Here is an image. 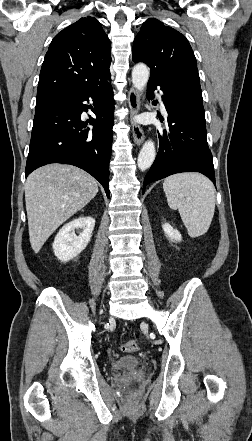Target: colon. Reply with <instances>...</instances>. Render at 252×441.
<instances>
[{
    "mask_svg": "<svg viewBox=\"0 0 252 441\" xmlns=\"http://www.w3.org/2000/svg\"><path fill=\"white\" fill-rule=\"evenodd\" d=\"M140 348L139 343L136 340H130L122 344L121 350L125 353H132L138 351Z\"/></svg>",
    "mask_w": 252,
    "mask_h": 441,
    "instance_id": "colon-1",
    "label": "colon"
}]
</instances>
